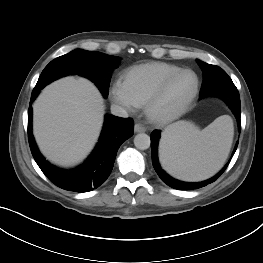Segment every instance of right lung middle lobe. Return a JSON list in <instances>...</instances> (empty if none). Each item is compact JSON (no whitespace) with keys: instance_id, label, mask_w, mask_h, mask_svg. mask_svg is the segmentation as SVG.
<instances>
[{"instance_id":"right-lung-middle-lobe-1","label":"right lung middle lobe","mask_w":263,"mask_h":263,"mask_svg":"<svg viewBox=\"0 0 263 263\" xmlns=\"http://www.w3.org/2000/svg\"><path fill=\"white\" fill-rule=\"evenodd\" d=\"M120 60L117 56L77 49L51 61L42 71L35 87L42 89L60 77L78 74L92 80L107 97L111 71Z\"/></svg>"}]
</instances>
